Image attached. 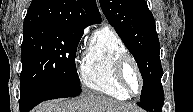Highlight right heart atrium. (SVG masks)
Here are the masks:
<instances>
[{"mask_svg": "<svg viewBox=\"0 0 193 112\" xmlns=\"http://www.w3.org/2000/svg\"><path fill=\"white\" fill-rule=\"evenodd\" d=\"M84 36H85V33H83L81 35V37L79 38L78 42H77V45H76V53H78L81 49V46H82V42L84 40Z\"/></svg>", "mask_w": 193, "mask_h": 112, "instance_id": "1", "label": "right heart atrium"}]
</instances>
